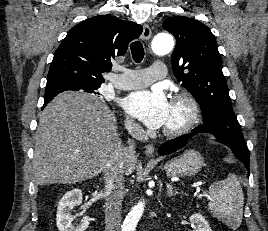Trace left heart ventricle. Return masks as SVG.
<instances>
[{
    "instance_id": "obj_1",
    "label": "left heart ventricle",
    "mask_w": 268,
    "mask_h": 231,
    "mask_svg": "<svg viewBox=\"0 0 268 231\" xmlns=\"http://www.w3.org/2000/svg\"><path fill=\"white\" fill-rule=\"evenodd\" d=\"M187 118V108L182 103H171L163 128H175Z\"/></svg>"
}]
</instances>
